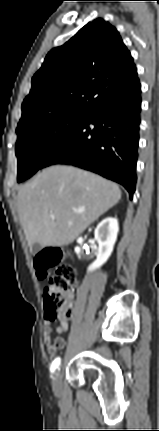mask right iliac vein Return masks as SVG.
I'll return each instance as SVG.
<instances>
[{"label":"right iliac vein","instance_id":"63e3f726","mask_svg":"<svg viewBox=\"0 0 159 431\" xmlns=\"http://www.w3.org/2000/svg\"><path fill=\"white\" fill-rule=\"evenodd\" d=\"M53 389L59 391L61 388V371L58 369L53 376Z\"/></svg>","mask_w":159,"mask_h":431}]
</instances>
